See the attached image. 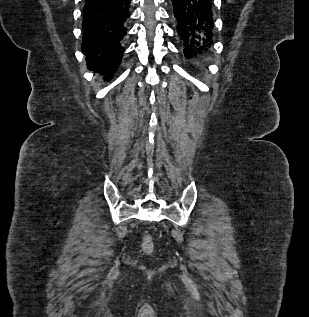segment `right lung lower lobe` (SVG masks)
Returning a JSON list of instances; mask_svg holds the SVG:
<instances>
[{
	"label": "right lung lower lobe",
	"instance_id": "98d812e1",
	"mask_svg": "<svg viewBox=\"0 0 309 317\" xmlns=\"http://www.w3.org/2000/svg\"><path fill=\"white\" fill-rule=\"evenodd\" d=\"M131 0H86L82 51L89 70L112 78L125 51Z\"/></svg>",
	"mask_w": 309,
	"mask_h": 317
}]
</instances>
